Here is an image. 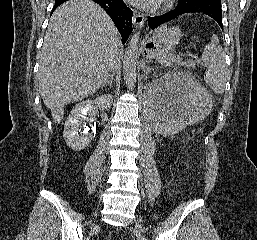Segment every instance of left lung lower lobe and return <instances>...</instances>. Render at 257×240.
Returning a JSON list of instances; mask_svg holds the SVG:
<instances>
[{
    "label": "left lung lower lobe",
    "instance_id": "left-lung-lower-lobe-1",
    "mask_svg": "<svg viewBox=\"0 0 257 240\" xmlns=\"http://www.w3.org/2000/svg\"><path fill=\"white\" fill-rule=\"evenodd\" d=\"M189 13L207 15L214 19L223 29L221 0H204L196 3L178 0L176 7L172 11L159 16L149 17L148 24L153 30L166 22L177 19L180 16Z\"/></svg>",
    "mask_w": 257,
    "mask_h": 240
}]
</instances>
